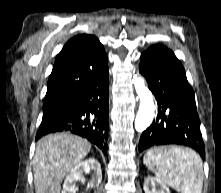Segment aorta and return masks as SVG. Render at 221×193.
Segmentation results:
<instances>
[{"mask_svg":"<svg viewBox=\"0 0 221 193\" xmlns=\"http://www.w3.org/2000/svg\"><path fill=\"white\" fill-rule=\"evenodd\" d=\"M134 86L140 99V106L135 119V130L144 131L153 121L155 115V105L151 91L145 86V80L142 77H134Z\"/></svg>","mask_w":221,"mask_h":193,"instance_id":"1","label":"aorta"}]
</instances>
